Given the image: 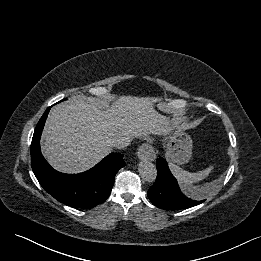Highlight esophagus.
<instances>
[{
    "instance_id": "obj_1",
    "label": "esophagus",
    "mask_w": 261,
    "mask_h": 261,
    "mask_svg": "<svg viewBox=\"0 0 261 261\" xmlns=\"http://www.w3.org/2000/svg\"><path fill=\"white\" fill-rule=\"evenodd\" d=\"M137 155L140 160L154 161L156 153L153 146L149 143H143L137 150Z\"/></svg>"
}]
</instances>
